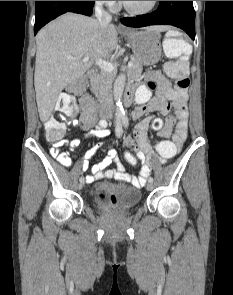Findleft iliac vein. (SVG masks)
<instances>
[{"label": "left iliac vein", "instance_id": "left-iliac-vein-1", "mask_svg": "<svg viewBox=\"0 0 233 295\" xmlns=\"http://www.w3.org/2000/svg\"><path fill=\"white\" fill-rule=\"evenodd\" d=\"M146 189H147L148 191H151V190L153 189V183L148 182L147 185H146Z\"/></svg>", "mask_w": 233, "mask_h": 295}]
</instances>
